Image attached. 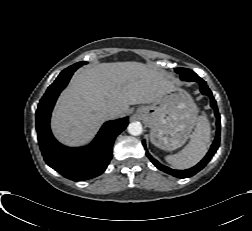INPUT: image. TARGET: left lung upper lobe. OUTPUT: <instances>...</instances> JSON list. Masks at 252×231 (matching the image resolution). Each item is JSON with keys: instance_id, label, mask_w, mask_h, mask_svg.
<instances>
[{"instance_id": "5c2ea615", "label": "left lung upper lobe", "mask_w": 252, "mask_h": 231, "mask_svg": "<svg viewBox=\"0 0 252 231\" xmlns=\"http://www.w3.org/2000/svg\"><path fill=\"white\" fill-rule=\"evenodd\" d=\"M175 71L180 75L181 78H185V76L187 75H190V74H193L195 72L189 70V69H186V68H176Z\"/></svg>"}]
</instances>
